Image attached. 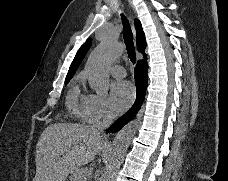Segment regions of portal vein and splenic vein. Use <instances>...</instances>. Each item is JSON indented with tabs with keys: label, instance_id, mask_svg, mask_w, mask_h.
Segmentation results:
<instances>
[{
	"label": "portal vein and splenic vein",
	"instance_id": "1",
	"mask_svg": "<svg viewBox=\"0 0 228 181\" xmlns=\"http://www.w3.org/2000/svg\"><path fill=\"white\" fill-rule=\"evenodd\" d=\"M82 173L81 175H89L88 169H81ZM80 179H85V177H80Z\"/></svg>",
	"mask_w": 228,
	"mask_h": 181
}]
</instances>
